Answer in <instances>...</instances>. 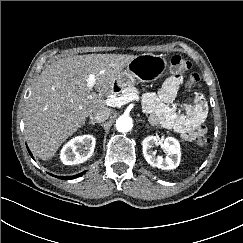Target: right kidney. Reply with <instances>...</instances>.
Here are the masks:
<instances>
[{
	"label": "right kidney",
	"instance_id": "1",
	"mask_svg": "<svg viewBox=\"0 0 243 243\" xmlns=\"http://www.w3.org/2000/svg\"><path fill=\"white\" fill-rule=\"evenodd\" d=\"M96 140L92 135L77 136L67 142L60 152L66 165H76L88 160L94 151Z\"/></svg>",
	"mask_w": 243,
	"mask_h": 243
}]
</instances>
